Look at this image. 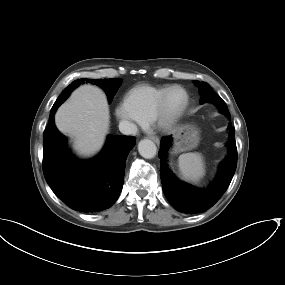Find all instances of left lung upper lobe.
<instances>
[{"mask_svg": "<svg viewBox=\"0 0 285 285\" xmlns=\"http://www.w3.org/2000/svg\"><path fill=\"white\" fill-rule=\"evenodd\" d=\"M195 83L199 84V90L201 94V104L206 103V102H214L218 101L220 103L219 105V111L226 116H229L230 113L228 111V108L225 104V102L220 98L218 94H216L210 85L206 82H201L199 83L198 81H195Z\"/></svg>", "mask_w": 285, "mask_h": 285, "instance_id": "obj_1", "label": "left lung upper lobe"}]
</instances>
